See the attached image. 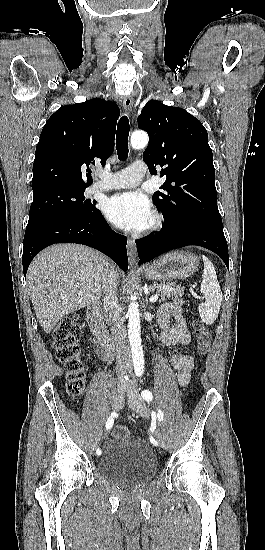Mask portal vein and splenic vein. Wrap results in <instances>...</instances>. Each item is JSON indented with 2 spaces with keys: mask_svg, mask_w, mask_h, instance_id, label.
Masks as SVG:
<instances>
[{
  "mask_svg": "<svg viewBox=\"0 0 265 550\" xmlns=\"http://www.w3.org/2000/svg\"><path fill=\"white\" fill-rule=\"evenodd\" d=\"M158 297L159 296L157 294H155V295L151 296L149 300H150V302H155L158 299Z\"/></svg>",
  "mask_w": 265,
  "mask_h": 550,
  "instance_id": "obj_1",
  "label": "portal vein and splenic vein"
}]
</instances>
